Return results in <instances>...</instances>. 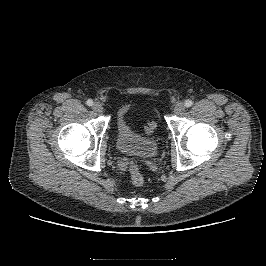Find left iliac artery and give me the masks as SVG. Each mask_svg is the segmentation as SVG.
Here are the masks:
<instances>
[{
	"mask_svg": "<svg viewBox=\"0 0 266 266\" xmlns=\"http://www.w3.org/2000/svg\"><path fill=\"white\" fill-rule=\"evenodd\" d=\"M192 105H193L192 100H189V99H188V100L185 101V106H186V107H191Z\"/></svg>",
	"mask_w": 266,
	"mask_h": 266,
	"instance_id": "1",
	"label": "left iliac artery"
}]
</instances>
